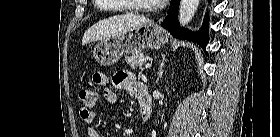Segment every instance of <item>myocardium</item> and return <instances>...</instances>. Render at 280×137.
<instances>
[{
  "mask_svg": "<svg viewBox=\"0 0 280 137\" xmlns=\"http://www.w3.org/2000/svg\"><path fill=\"white\" fill-rule=\"evenodd\" d=\"M128 2H130V7L133 10L136 11H142V12H154L157 10V6L156 5H151V6H143L140 4L135 3V0H128Z\"/></svg>",
  "mask_w": 280,
  "mask_h": 137,
  "instance_id": "1",
  "label": "myocardium"
}]
</instances>
